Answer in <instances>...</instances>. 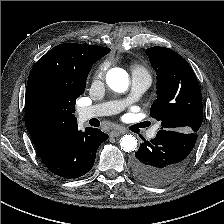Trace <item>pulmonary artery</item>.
<instances>
[{
  "instance_id": "pulmonary-artery-1",
  "label": "pulmonary artery",
  "mask_w": 224,
  "mask_h": 224,
  "mask_svg": "<svg viewBox=\"0 0 224 224\" xmlns=\"http://www.w3.org/2000/svg\"><path fill=\"white\" fill-rule=\"evenodd\" d=\"M150 77L143 73H135L132 77V88L129 96L121 101H113L107 103L96 104L80 108L78 111V118L81 122L87 121L91 118L111 115L124 109L127 105L136 102L150 86ZM156 135V129L153 128L149 132V137L153 138Z\"/></svg>"
}]
</instances>
